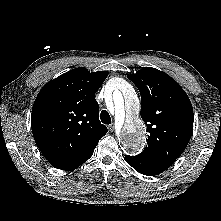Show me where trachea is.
<instances>
[{
  "label": "trachea",
  "mask_w": 221,
  "mask_h": 221,
  "mask_svg": "<svg viewBox=\"0 0 221 221\" xmlns=\"http://www.w3.org/2000/svg\"><path fill=\"white\" fill-rule=\"evenodd\" d=\"M100 118L102 123L104 124H110L111 123V117L109 113L106 110H102L100 113Z\"/></svg>",
  "instance_id": "3493384b"
}]
</instances>
